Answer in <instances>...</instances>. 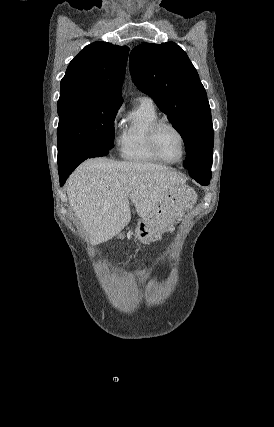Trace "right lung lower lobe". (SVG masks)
Listing matches in <instances>:
<instances>
[{"label":"right lung lower lobe","instance_id":"98d812e1","mask_svg":"<svg viewBox=\"0 0 274 427\" xmlns=\"http://www.w3.org/2000/svg\"><path fill=\"white\" fill-rule=\"evenodd\" d=\"M109 153V150H104V151H99V152H95L93 154H91L90 156L67 166H60L58 167L59 170V178H60V186H63V184L65 183L66 179L68 178V176L74 171V169L84 160H86L87 158H93V157H101V156H105Z\"/></svg>","mask_w":274,"mask_h":427}]
</instances>
